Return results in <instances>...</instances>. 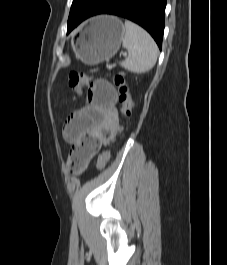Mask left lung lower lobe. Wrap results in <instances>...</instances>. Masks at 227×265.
I'll return each instance as SVG.
<instances>
[{"label":"left lung lower lobe","mask_w":227,"mask_h":265,"mask_svg":"<svg viewBox=\"0 0 227 265\" xmlns=\"http://www.w3.org/2000/svg\"><path fill=\"white\" fill-rule=\"evenodd\" d=\"M165 7L166 0H105L89 17L112 14L127 18L146 29L161 49ZM81 22L73 24L67 33Z\"/></svg>","instance_id":"0a47b994"}]
</instances>
